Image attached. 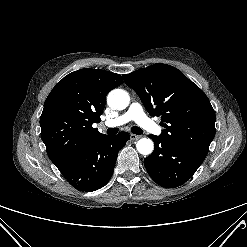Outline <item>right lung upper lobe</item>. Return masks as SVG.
<instances>
[{
  "label": "right lung upper lobe",
  "instance_id": "obj_1",
  "mask_svg": "<svg viewBox=\"0 0 247 247\" xmlns=\"http://www.w3.org/2000/svg\"><path fill=\"white\" fill-rule=\"evenodd\" d=\"M122 83L119 74L85 68L68 74L52 89L40 118L41 139L60 171L105 135L92 124L101 121L109 91Z\"/></svg>",
  "mask_w": 247,
  "mask_h": 247
}]
</instances>
